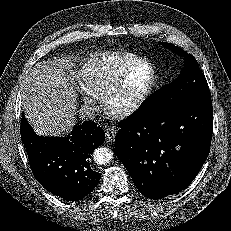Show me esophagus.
<instances>
[{
	"mask_svg": "<svg viewBox=\"0 0 231 231\" xmlns=\"http://www.w3.org/2000/svg\"><path fill=\"white\" fill-rule=\"evenodd\" d=\"M117 135V130L113 127L107 128L105 131L106 140L113 141Z\"/></svg>",
	"mask_w": 231,
	"mask_h": 231,
	"instance_id": "1",
	"label": "esophagus"
}]
</instances>
